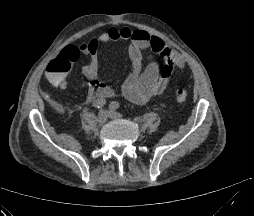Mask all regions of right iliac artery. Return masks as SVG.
Instances as JSON below:
<instances>
[{"instance_id": "82829eb1", "label": "right iliac artery", "mask_w": 254, "mask_h": 216, "mask_svg": "<svg viewBox=\"0 0 254 216\" xmlns=\"http://www.w3.org/2000/svg\"><path fill=\"white\" fill-rule=\"evenodd\" d=\"M106 104L105 99H98L93 102L92 106L95 108H102Z\"/></svg>"}]
</instances>
